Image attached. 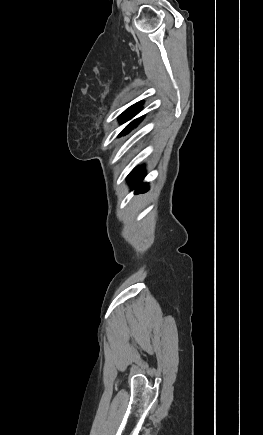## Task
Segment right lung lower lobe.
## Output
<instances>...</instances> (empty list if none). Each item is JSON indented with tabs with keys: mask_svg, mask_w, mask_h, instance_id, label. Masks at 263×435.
Returning a JSON list of instances; mask_svg holds the SVG:
<instances>
[{
	"mask_svg": "<svg viewBox=\"0 0 263 435\" xmlns=\"http://www.w3.org/2000/svg\"><path fill=\"white\" fill-rule=\"evenodd\" d=\"M142 120V117L135 121L134 125L132 126L131 130L134 128L136 123H140ZM144 177V169L143 167H139L135 169L128 177V180L130 182V185L132 189L136 188V192H142L146 191L148 189V184L144 183L142 184V180Z\"/></svg>",
	"mask_w": 263,
	"mask_h": 435,
	"instance_id": "right-lung-lower-lobe-1",
	"label": "right lung lower lobe"
}]
</instances>
